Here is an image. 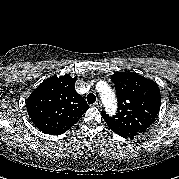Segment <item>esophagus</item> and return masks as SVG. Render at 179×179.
I'll return each mask as SVG.
<instances>
[{
    "instance_id": "1",
    "label": "esophagus",
    "mask_w": 179,
    "mask_h": 179,
    "mask_svg": "<svg viewBox=\"0 0 179 179\" xmlns=\"http://www.w3.org/2000/svg\"><path fill=\"white\" fill-rule=\"evenodd\" d=\"M97 108H101L102 107V103L100 100H97L94 104Z\"/></svg>"
}]
</instances>
